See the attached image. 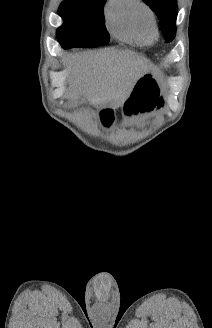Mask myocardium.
Wrapping results in <instances>:
<instances>
[{
    "label": "myocardium",
    "instance_id": "obj_1",
    "mask_svg": "<svg viewBox=\"0 0 212 328\" xmlns=\"http://www.w3.org/2000/svg\"><path fill=\"white\" fill-rule=\"evenodd\" d=\"M138 17L145 28L155 32L157 31L156 17L153 10L150 7L141 4L138 9Z\"/></svg>",
    "mask_w": 212,
    "mask_h": 328
}]
</instances>
